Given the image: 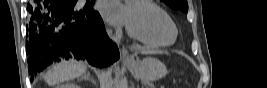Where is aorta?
Masks as SVG:
<instances>
[{"instance_id":"aorta-1","label":"aorta","mask_w":267,"mask_h":88,"mask_svg":"<svg viewBox=\"0 0 267 88\" xmlns=\"http://www.w3.org/2000/svg\"><path fill=\"white\" fill-rule=\"evenodd\" d=\"M119 88H126V85L124 83L120 84Z\"/></svg>"}]
</instances>
